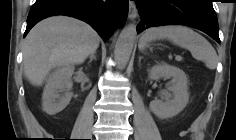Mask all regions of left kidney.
<instances>
[{"label":"left kidney","mask_w":236,"mask_h":140,"mask_svg":"<svg viewBox=\"0 0 236 140\" xmlns=\"http://www.w3.org/2000/svg\"><path fill=\"white\" fill-rule=\"evenodd\" d=\"M148 77L150 80L172 78L168 90L173 93V99L167 101L155 99L150 102L149 107L157 117L165 119L176 116L186 107L189 101L188 79L181 69L162 63L153 66L149 70Z\"/></svg>","instance_id":"5707ae66"}]
</instances>
